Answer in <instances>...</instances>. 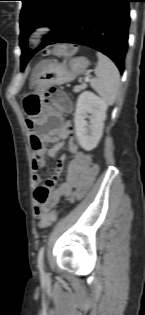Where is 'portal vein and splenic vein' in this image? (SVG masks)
<instances>
[{
  "instance_id": "obj_1",
  "label": "portal vein and splenic vein",
  "mask_w": 145,
  "mask_h": 315,
  "mask_svg": "<svg viewBox=\"0 0 145 315\" xmlns=\"http://www.w3.org/2000/svg\"><path fill=\"white\" fill-rule=\"evenodd\" d=\"M90 80V77L89 76H86L85 78H84V81L85 82H88Z\"/></svg>"
}]
</instances>
